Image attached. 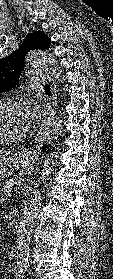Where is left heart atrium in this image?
<instances>
[{"label":"left heart atrium","instance_id":"obj_1","mask_svg":"<svg viewBox=\"0 0 113 279\" xmlns=\"http://www.w3.org/2000/svg\"><path fill=\"white\" fill-rule=\"evenodd\" d=\"M24 109L27 126L30 128L37 122V109L34 105H27Z\"/></svg>","mask_w":113,"mask_h":279}]
</instances>
